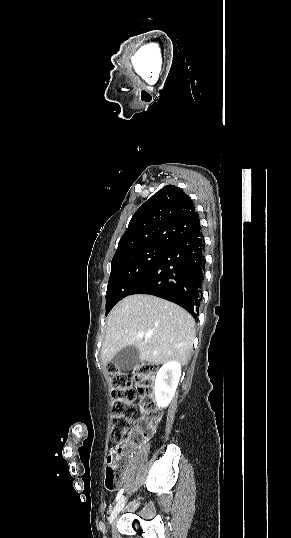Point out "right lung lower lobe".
I'll return each instance as SVG.
<instances>
[{
  "label": "right lung lower lobe",
  "instance_id": "obj_1",
  "mask_svg": "<svg viewBox=\"0 0 291 538\" xmlns=\"http://www.w3.org/2000/svg\"><path fill=\"white\" fill-rule=\"evenodd\" d=\"M204 270V240L200 228L172 245L130 295H154L180 305L197 317Z\"/></svg>",
  "mask_w": 291,
  "mask_h": 538
}]
</instances>
